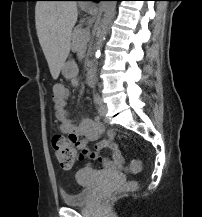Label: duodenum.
I'll list each match as a JSON object with an SVG mask.
<instances>
[{"mask_svg":"<svg viewBox=\"0 0 202 217\" xmlns=\"http://www.w3.org/2000/svg\"><path fill=\"white\" fill-rule=\"evenodd\" d=\"M88 82L90 85H94L95 84V73L93 70H90L88 73Z\"/></svg>","mask_w":202,"mask_h":217,"instance_id":"obj_1","label":"duodenum"}]
</instances>
